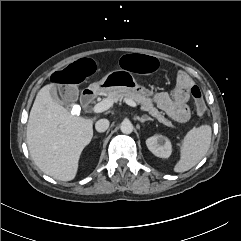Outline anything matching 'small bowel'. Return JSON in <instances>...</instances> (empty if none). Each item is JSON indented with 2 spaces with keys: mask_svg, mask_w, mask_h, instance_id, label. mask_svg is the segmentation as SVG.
<instances>
[{
  "mask_svg": "<svg viewBox=\"0 0 241 241\" xmlns=\"http://www.w3.org/2000/svg\"><path fill=\"white\" fill-rule=\"evenodd\" d=\"M194 88L198 87L195 86L192 78L186 72L180 71L177 74L175 89L171 93H156L153 96V101L170 118L176 122L185 123L190 119L188 101Z\"/></svg>",
  "mask_w": 241,
  "mask_h": 241,
  "instance_id": "c3829d8e",
  "label": "small bowel"
}]
</instances>
